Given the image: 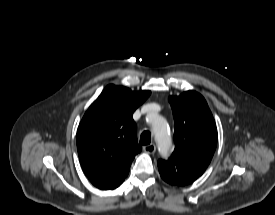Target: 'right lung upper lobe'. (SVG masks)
Segmentation results:
<instances>
[{
    "label": "right lung upper lobe",
    "mask_w": 275,
    "mask_h": 215,
    "mask_svg": "<svg viewBox=\"0 0 275 215\" xmlns=\"http://www.w3.org/2000/svg\"><path fill=\"white\" fill-rule=\"evenodd\" d=\"M150 93L108 85L82 118L77 130L78 155L83 171L97 188L115 189L128 175L141 151L132 115Z\"/></svg>",
    "instance_id": "1"
}]
</instances>
